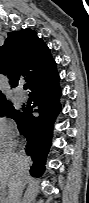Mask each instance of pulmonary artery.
Masks as SVG:
<instances>
[{"mask_svg": "<svg viewBox=\"0 0 89 203\" xmlns=\"http://www.w3.org/2000/svg\"><path fill=\"white\" fill-rule=\"evenodd\" d=\"M18 98L21 102L24 103L28 100V95L26 93L22 92L19 94Z\"/></svg>", "mask_w": 89, "mask_h": 203, "instance_id": "e3ab8cb5", "label": "pulmonary artery"}]
</instances>
